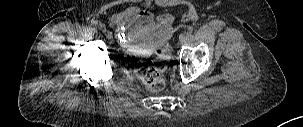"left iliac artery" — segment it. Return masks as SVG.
<instances>
[{"instance_id":"obj_1","label":"left iliac artery","mask_w":303,"mask_h":127,"mask_svg":"<svg viewBox=\"0 0 303 127\" xmlns=\"http://www.w3.org/2000/svg\"><path fill=\"white\" fill-rule=\"evenodd\" d=\"M182 35L186 38L188 42L192 41L193 39L191 33L188 31H185Z\"/></svg>"}]
</instances>
